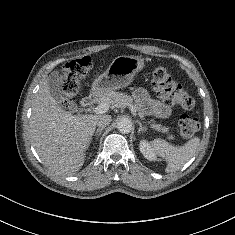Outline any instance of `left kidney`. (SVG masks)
<instances>
[{
    "mask_svg": "<svg viewBox=\"0 0 235 235\" xmlns=\"http://www.w3.org/2000/svg\"><path fill=\"white\" fill-rule=\"evenodd\" d=\"M140 152L143 154V156L148 159L149 161H156L157 156L150 145V143L146 139H142L139 144Z\"/></svg>",
    "mask_w": 235,
    "mask_h": 235,
    "instance_id": "obj_1",
    "label": "left kidney"
}]
</instances>
